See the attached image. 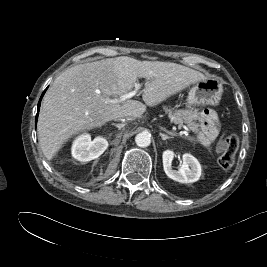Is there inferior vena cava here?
I'll list each match as a JSON object with an SVG mask.
<instances>
[{"instance_id":"obj_1","label":"inferior vena cava","mask_w":267,"mask_h":267,"mask_svg":"<svg viewBox=\"0 0 267 267\" xmlns=\"http://www.w3.org/2000/svg\"><path fill=\"white\" fill-rule=\"evenodd\" d=\"M134 119H135V117L130 115V116H126L124 118H119L118 120L125 121V120H134Z\"/></svg>"}]
</instances>
